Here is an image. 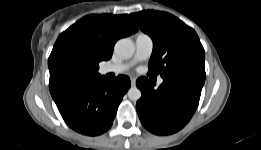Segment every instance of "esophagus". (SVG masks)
I'll return each mask as SVG.
<instances>
[{"mask_svg": "<svg viewBox=\"0 0 261 150\" xmlns=\"http://www.w3.org/2000/svg\"><path fill=\"white\" fill-rule=\"evenodd\" d=\"M131 85L134 87L136 85V79L135 78H131Z\"/></svg>", "mask_w": 261, "mask_h": 150, "instance_id": "esophagus-1", "label": "esophagus"}]
</instances>
